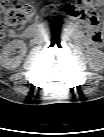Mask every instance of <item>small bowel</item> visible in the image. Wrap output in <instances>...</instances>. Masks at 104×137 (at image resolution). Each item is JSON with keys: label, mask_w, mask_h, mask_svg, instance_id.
Returning a JSON list of instances; mask_svg holds the SVG:
<instances>
[{"label": "small bowel", "mask_w": 104, "mask_h": 137, "mask_svg": "<svg viewBox=\"0 0 104 137\" xmlns=\"http://www.w3.org/2000/svg\"><path fill=\"white\" fill-rule=\"evenodd\" d=\"M84 44L89 45L92 43L91 39L89 40H82Z\"/></svg>", "instance_id": "c3829d8e"}]
</instances>
